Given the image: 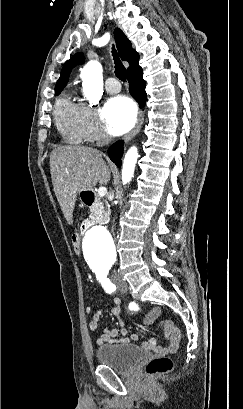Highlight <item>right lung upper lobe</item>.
I'll return each mask as SVG.
<instances>
[{
    "instance_id": "1",
    "label": "right lung upper lobe",
    "mask_w": 243,
    "mask_h": 409,
    "mask_svg": "<svg viewBox=\"0 0 243 409\" xmlns=\"http://www.w3.org/2000/svg\"><path fill=\"white\" fill-rule=\"evenodd\" d=\"M114 37H115L116 46L119 51V55L121 59L128 61L130 64V67L127 69L128 76H131L134 73L141 71L142 68L138 65V61H139L138 53L132 49V45L129 39L118 28L115 29L114 31ZM82 63H83L82 53L75 54L70 60H68L65 63V65L63 66V69L61 70L60 78L58 79L57 84L55 86V92H61V90L67 84L71 69L75 65L82 64Z\"/></svg>"
}]
</instances>
